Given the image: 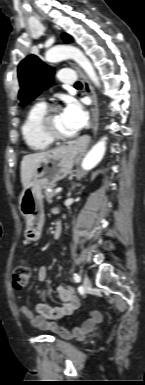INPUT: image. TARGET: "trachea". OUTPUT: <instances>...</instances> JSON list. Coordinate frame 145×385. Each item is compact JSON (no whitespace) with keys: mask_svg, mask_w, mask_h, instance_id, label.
I'll list each match as a JSON object with an SVG mask.
<instances>
[{"mask_svg":"<svg viewBox=\"0 0 145 385\" xmlns=\"http://www.w3.org/2000/svg\"><path fill=\"white\" fill-rule=\"evenodd\" d=\"M75 87H82L81 82H76V83H75Z\"/></svg>","mask_w":145,"mask_h":385,"instance_id":"3493384b","label":"trachea"}]
</instances>
